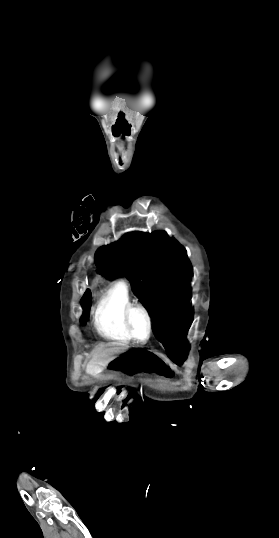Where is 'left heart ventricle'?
I'll return each instance as SVG.
<instances>
[{
	"mask_svg": "<svg viewBox=\"0 0 279 538\" xmlns=\"http://www.w3.org/2000/svg\"><path fill=\"white\" fill-rule=\"evenodd\" d=\"M132 330L138 339H144L147 336L148 330L146 320L139 312H135L132 316Z\"/></svg>",
	"mask_w": 279,
	"mask_h": 538,
	"instance_id": "1",
	"label": "left heart ventricle"
}]
</instances>
